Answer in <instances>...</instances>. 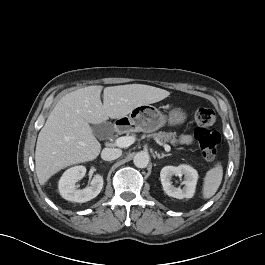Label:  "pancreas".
Segmentation results:
<instances>
[{
    "label": "pancreas",
    "mask_w": 265,
    "mask_h": 265,
    "mask_svg": "<svg viewBox=\"0 0 265 265\" xmlns=\"http://www.w3.org/2000/svg\"><path fill=\"white\" fill-rule=\"evenodd\" d=\"M147 137H153L159 143H167L169 142L171 145L176 146L178 144V140L176 139V134L172 132H162L159 131L154 134H149Z\"/></svg>",
    "instance_id": "pancreas-1"
}]
</instances>
